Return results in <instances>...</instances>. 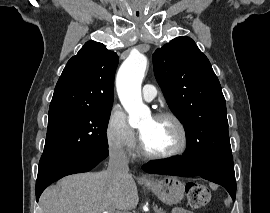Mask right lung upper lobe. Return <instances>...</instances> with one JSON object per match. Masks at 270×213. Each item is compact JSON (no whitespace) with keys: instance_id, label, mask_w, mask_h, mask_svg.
<instances>
[{"instance_id":"1","label":"right lung upper lobe","mask_w":270,"mask_h":213,"mask_svg":"<svg viewBox=\"0 0 270 213\" xmlns=\"http://www.w3.org/2000/svg\"><path fill=\"white\" fill-rule=\"evenodd\" d=\"M115 52L88 41L65 66L54 90L49 110L59 108L109 109L114 98Z\"/></svg>"}]
</instances>
